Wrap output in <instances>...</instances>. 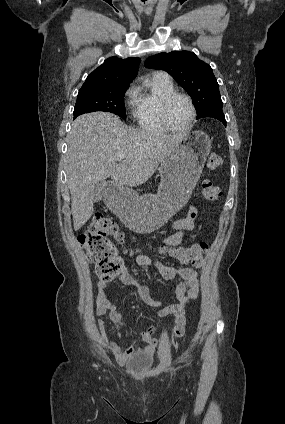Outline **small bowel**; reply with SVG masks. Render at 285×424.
Wrapping results in <instances>:
<instances>
[{
	"instance_id": "obj_1",
	"label": "small bowel",
	"mask_w": 285,
	"mask_h": 424,
	"mask_svg": "<svg viewBox=\"0 0 285 424\" xmlns=\"http://www.w3.org/2000/svg\"><path fill=\"white\" fill-rule=\"evenodd\" d=\"M197 217V210L191 208L187 217L177 219L171 226V230L174 233L166 236L162 242L165 246L174 247L181 243L183 237L190 231L195 229V219ZM149 246V244L147 245ZM135 260L138 265L146 268L153 269L162 279L166 281L178 280L174 287V296L176 302L173 304H167L162 306V303L151 297L150 289L147 285L139 284L128 272L126 267H123L120 276L118 277V283L122 285L135 286L137 288V295L140 302L152 306L160 307L158 311L159 318H165L173 315L176 317L175 325L169 334L171 338H178L183 335L185 330V318L183 315L184 308L191 301L197 299L199 295V275L198 272L191 268L175 269L163 264L156 257H149L143 251H139L135 255ZM107 280L100 279L97 285L98 293L96 296V313L99 316L108 318L115 327L117 337H120L119 329L127 324L126 318L117 309L115 304L110 301L106 295ZM183 317L181 326L178 325V318ZM99 330L105 345L112 351L116 360L119 364H126L130 358V355L138 347L139 344L143 343L146 345L147 350H154L160 343V338L154 336L156 328L151 326L142 332L140 339L134 341V343L126 348L122 349L115 341L110 339L106 333V324L104 320L98 323Z\"/></svg>"
}]
</instances>
